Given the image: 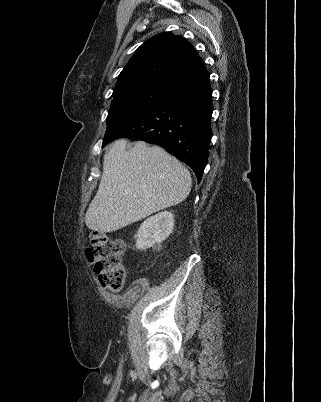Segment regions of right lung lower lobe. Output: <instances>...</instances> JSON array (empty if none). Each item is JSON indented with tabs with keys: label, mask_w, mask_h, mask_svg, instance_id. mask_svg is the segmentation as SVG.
<instances>
[{
	"label": "right lung lower lobe",
	"mask_w": 321,
	"mask_h": 402,
	"mask_svg": "<svg viewBox=\"0 0 321 402\" xmlns=\"http://www.w3.org/2000/svg\"><path fill=\"white\" fill-rule=\"evenodd\" d=\"M212 112L209 73L202 69L172 85L164 100L113 140L127 137L160 145L190 166L200 182L209 156Z\"/></svg>",
	"instance_id": "right-lung-lower-lobe-1"
}]
</instances>
